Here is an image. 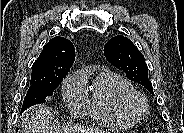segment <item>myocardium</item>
Segmentation results:
<instances>
[{"label": "myocardium", "instance_id": "obj_1", "mask_svg": "<svg viewBox=\"0 0 184 133\" xmlns=\"http://www.w3.org/2000/svg\"><path fill=\"white\" fill-rule=\"evenodd\" d=\"M119 105L122 112L135 121L142 119L149 110L146 98L134 89L121 95Z\"/></svg>", "mask_w": 184, "mask_h": 133}]
</instances>
